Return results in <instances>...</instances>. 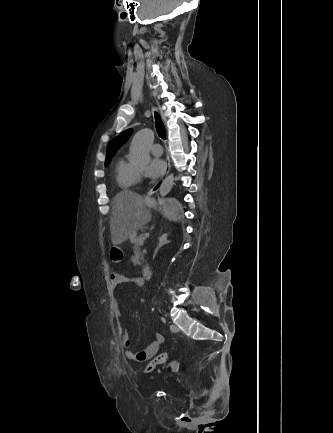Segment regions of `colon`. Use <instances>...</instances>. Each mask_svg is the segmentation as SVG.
Masks as SVG:
<instances>
[{
    "instance_id": "5ec220e1",
    "label": "colon",
    "mask_w": 333,
    "mask_h": 433,
    "mask_svg": "<svg viewBox=\"0 0 333 433\" xmlns=\"http://www.w3.org/2000/svg\"><path fill=\"white\" fill-rule=\"evenodd\" d=\"M110 256L112 258L113 265H122L123 263V251L120 244H113ZM169 361L167 354L162 353L153 358L149 364L143 369V372L150 373L153 372L159 365L166 364Z\"/></svg>"
}]
</instances>
